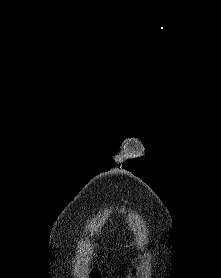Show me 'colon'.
<instances>
[{
    "label": "colon",
    "instance_id": "5ec220e1",
    "mask_svg": "<svg viewBox=\"0 0 221 278\" xmlns=\"http://www.w3.org/2000/svg\"><path fill=\"white\" fill-rule=\"evenodd\" d=\"M87 275L89 278H101L99 271L92 268H88Z\"/></svg>",
    "mask_w": 221,
    "mask_h": 278
}]
</instances>
